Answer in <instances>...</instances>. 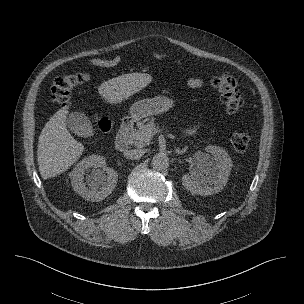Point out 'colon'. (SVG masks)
<instances>
[{
  "mask_svg": "<svg viewBox=\"0 0 304 304\" xmlns=\"http://www.w3.org/2000/svg\"><path fill=\"white\" fill-rule=\"evenodd\" d=\"M88 79L89 75L86 73H68L57 77L51 89L52 100L60 106L69 105L73 89ZM211 83L219 92L227 112L235 113L243 106L242 95L232 75L221 73ZM95 125L100 131L106 132L111 128V121L106 117H95ZM230 142L235 150L244 152L249 147L250 137L246 133L234 132L230 135Z\"/></svg>",
  "mask_w": 304,
  "mask_h": 304,
  "instance_id": "obj_1",
  "label": "colon"
}]
</instances>
